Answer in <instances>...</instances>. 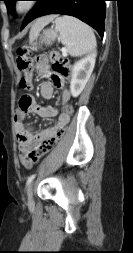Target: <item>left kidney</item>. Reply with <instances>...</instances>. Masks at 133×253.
Returning <instances> with one entry per match:
<instances>
[{
  "instance_id": "5707ae66",
  "label": "left kidney",
  "mask_w": 133,
  "mask_h": 253,
  "mask_svg": "<svg viewBox=\"0 0 133 253\" xmlns=\"http://www.w3.org/2000/svg\"><path fill=\"white\" fill-rule=\"evenodd\" d=\"M96 53L90 54L76 62L71 68L70 91L73 97H77L84 89L95 66Z\"/></svg>"
}]
</instances>
